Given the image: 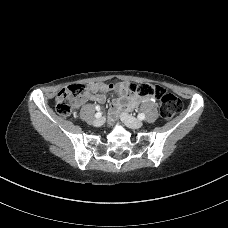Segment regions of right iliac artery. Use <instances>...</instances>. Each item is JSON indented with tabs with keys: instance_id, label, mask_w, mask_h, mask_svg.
I'll return each mask as SVG.
<instances>
[{
	"instance_id": "1",
	"label": "right iliac artery",
	"mask_w": 228,
	"mask_h": 228,
	"mask_svg": "<svg viewBox=\"0 0 228 228\" xmlns=\"http://www.w3.org/2000/svg\"><path fill=\"white\" fill-rule=\"evenodd\" d=\"M102 116V113L100 111H98L96 114H95V117L96 118H100Z\"/></svg>"
}]
</instances>
